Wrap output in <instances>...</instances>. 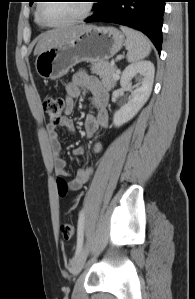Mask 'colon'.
Here are the masks:
<instances>
[{
	"label": "colon",
	"instance_id": "1",
	"mask_svg": "<svg viewBox=\"0 0 195 299\" xmlns=\"http://www.w3.org/2000/svg\"><path fill=\"white\" fill-rule=\"evenodd\" d=\"M42 108L52 123H59L65 109V102L59 96L47 95L42 101ZM58 193L61 197H65L69 191L68 183L65 179L57 180ZM61 233L64 238L69 239L74 235V226L71 223H63L61 225Z\"/></svg>",
	"mask_w": 195,
	"mask_h": 299
}]
</instances>
